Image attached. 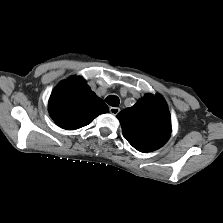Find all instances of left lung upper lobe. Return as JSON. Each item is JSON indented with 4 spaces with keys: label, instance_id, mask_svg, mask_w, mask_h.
Listing matches in <instances>:
<instances>
[{
    "label": "left lung upper lobe",
    "instance_id": "obj_1",
    "mask_svg": "<svg viewBox=\"0 0 223 223\" xmlns=\"http://www.w3.org/2000/svg\"><path fill=\"white\" fill-rule=\"evenodd\" d=\"M126 140L141 152L162 147L170 137L171 118L161 97L145 95L136 104L117 114Z\"/></svg>",
    "mask_w": 223,
    "mask_h": 223
}]
</instances>
